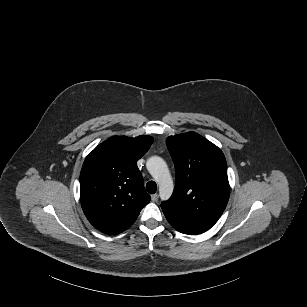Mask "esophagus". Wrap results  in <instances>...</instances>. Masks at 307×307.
<instances>
[{"instance_id": "esophagus-1", "label": "esophagus", "mask_w": 307, "mask_h": 307, "mask_svg": "<svg viewBox=\"0 0 307 307\" xmlns=\"http://www.w3.org/2000/svg\"><path fill=\"white\" fill-rule=\"evenodd\" d=\"M151 199H152L153 202H157L158 199H159V195L158 194H152Z\"/></svg>"}]
</instances>
